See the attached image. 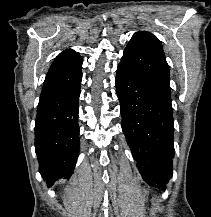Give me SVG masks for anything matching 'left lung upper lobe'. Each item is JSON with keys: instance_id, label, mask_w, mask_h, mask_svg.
Masks as SVG:
<instances>
[{"instance_id": "1", "label": "left lung upper lobe", "mask_w": 211, "mask_h": 217, "mask_svg": "<svg viewBox=\"0 0 211 217\" xmlns=\"http://www.w3.org/2000/svg\"><path fill=\"white\" fill-rule=\"evenodd\" d=\"M119 64L171 99L169 66L161 42L152 33L136 32L126 46Z\"/></svg>"}]
</instances>
